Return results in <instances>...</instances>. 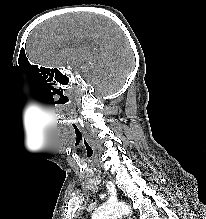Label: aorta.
Returning <instances> with one entry per match:
<instances>
[{"label": "aorta", "instance_id": "aorta-1", "mask_svg": "<svg viewBox=\"0 0 206 219\" xmlns=\"http://www.w3.org/2000/svg\"><path fill=\"white\" fill-rule=\"evenodd\" d=\"M129 211L128 206L122 202L107 203L94 211L92 219H119Z\"/></svg>", "mask_w": 206, "mask_h": 219}]
</instances>
